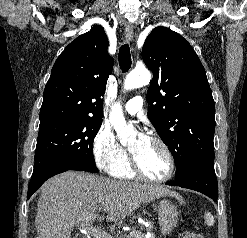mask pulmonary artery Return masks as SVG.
Here are the masks:
<instances>
[{"label":"pulmonary artery","instance_id":"pulmonary-artery-1","mask_svg":"<svg viewBox=\"0 0 247 238\" xmlns=\"http://www.w3.org/2000/svg\"><path fill=\"white\" fill-rule=\"evenodd\" d=\"M142 107L143 98L141 96H136L126 102L124 110L130 115H135L141 111Z\"/></svg>","mask_w":247,"mask_h":238}]
</instances>
